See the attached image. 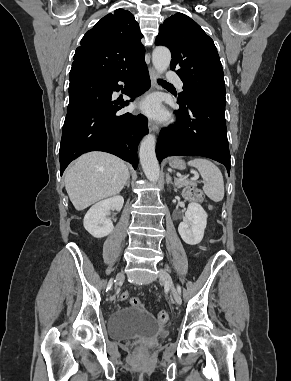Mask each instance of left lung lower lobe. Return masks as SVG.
<instances>
[{
    "mask_svg": "<svg viewBox=\"0 0 291 381\" xmlns=\"http://www.w3.org/2000/svg\"><path fill=\"white\" fill-rule=\"evenodd\" d=\"M175 127L161 130L156 145L157 159L199 155L214 159L230 173V152L225 121L226 99L198 95L179 99Z\"/></svg>",
    "mask_w": 291,
    "mask_h": 381,
    "instance_id": "0a47b994",
    "label": "left lung lower lobe"
}]
</instances>
